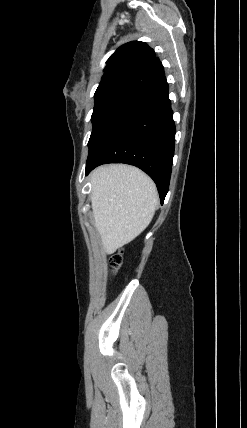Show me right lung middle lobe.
Instances as JSON below:
<instances>
[{
  "label": "right lung middle lobe",
  "mask_w": 247,
  "mask_h": 428,
  "mask_svg": "<svg viewBox=\"0 0 247 428\" xmlns=\"http://www.w3.org/2000/svg\"><path fill=\"white\" fill-rule=\"evenodd\" d=\"M139 93L126 89H114L94 95L95 105L91 121L93 130L88 142L89 148L107 124Z\"/></svg>",
  "instance_id": "dd1d6c3e"
}]
</instances>
